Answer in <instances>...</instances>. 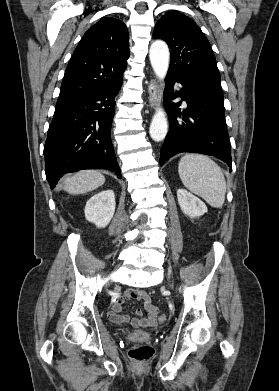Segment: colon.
Here are the masks:
<instances>
[{"instance_id": "5ec220e1", "label": "colon", "mask_w": 279, "mask_h": 391, "mask_svg": "<svg viewBox=\"0 0 279 391\" xmlns=\"http://www.w3.org/2000/svg\"><path fill=\"white\" fill-rule=\"evenodd\" d=\"M159 321L161 323L165 322L166 316L160 315ZM153 353H154V350L152 347H150L148 345H140V346H135L132 349H130L129 356L134 361L142 363V362L149 360L153 356Z\"/></svg>"}]
</instances>
